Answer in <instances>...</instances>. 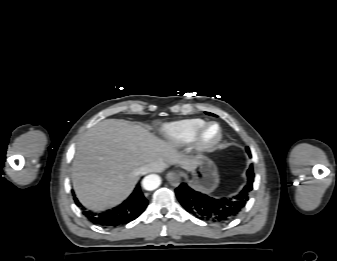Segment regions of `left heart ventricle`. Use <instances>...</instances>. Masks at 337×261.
Masks as SVG:
<instances>
[{"mask_svg":"<svg viewBox=\"0 0 337 261\" xmlns=\"http://www.w3.org/2000/svg\"><path fill=\"white\" fill-rule=\"evenodd\" d=\"M217 135V129L216 127H211L207 130L205 133V141L209 142L213 140Z\"/></svg>","mask_w":337,"mask_h":261,"instance_id":"1","label":"left heart ventricle"}]
</instances>
